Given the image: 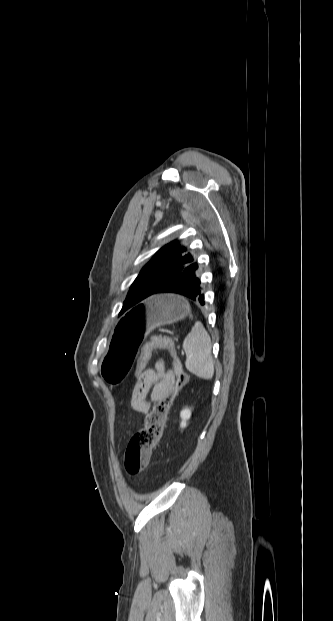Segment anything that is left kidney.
<instances>
[{
	"instance_id": "1",
	"label": "left kidney",
	"mask_w": 333,
	"mask_h": 621,
	"mask_svg": "<svg viewBox=\"0 0 333 621\" xmlns=\"http://www.w3.org/2000/svg\"><path fill=\"white\" fill-rule=\"evenodd\" d=\"M180 417H181V428H185L187 426V421L190 419L191 417V410L189 408H185L180 412Z\"/></svg>"
}]
</instances>
